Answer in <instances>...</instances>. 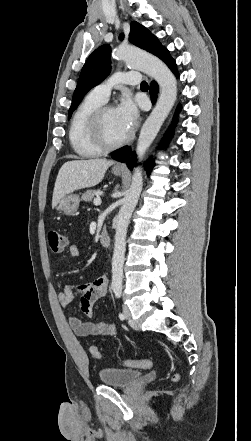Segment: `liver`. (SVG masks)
I'll return each mask as SVG.
<instances>
[{
    "label": "liver",
    "mask_w": 251,
    "mask_h": 441,
    "mask_svg": "<svg viewBox=\"0 0 251 441\" xmlns=\"http://www.w3.org/2000/svg\"><path fill=\"white\" fill-rule=\"evenodd\" d=\"M113 161L88 159L68 161L60 168L53 191L52 207L64 196L99 184Z\"/></svg>",
    "instance_id": "obj_1"
}]
</instances>
